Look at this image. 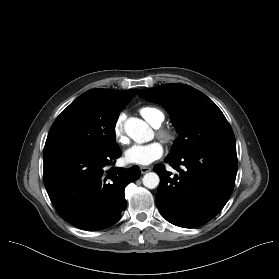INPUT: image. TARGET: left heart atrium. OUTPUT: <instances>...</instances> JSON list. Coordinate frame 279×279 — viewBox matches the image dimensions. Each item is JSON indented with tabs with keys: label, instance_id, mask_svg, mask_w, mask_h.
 Listing matches in <instances>:
<instances>
[{
	"label": "left heart atrium",
	"instance_id": "1",
	"mask_svg": "<svg viewBox=\"0 0 279 279\" xmlns=\"http://www.w3.org/2000/svg\"><path fill=\"white\" fill-rule=\"evenodd\" d=\"M164 148L160 142L154 141L144 145H133L125 152L127 162L137 165H149L162 157Z\"/></svg>",
	"mask_w": 279,
	"mask_h": 279
}]
</instances>
